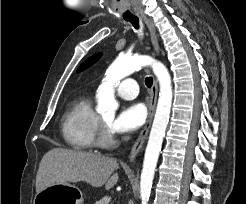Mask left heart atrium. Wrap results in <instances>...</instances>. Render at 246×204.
Returning a JSON list of instances; mask_svg holds the SVG:
<instances>
[{
	"label": "left heart atrium",
	"instance_id": "1",
	"mask_svg": "<svg viewBox=\"0 0 246 204\" xmlns=\"http://www.w3.org/2000/svg\"><path fill=\"white\" fill-rule=\"evenodd\" d=\"M146 108L141 103H132L124 106L114 121L111 128L116 133H126L137 130L146 120Z\"/></svg>",
	"mask_w": 246,
	"mask_h": 204
}]
</instances>
